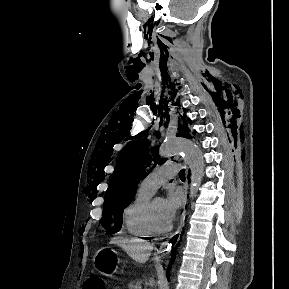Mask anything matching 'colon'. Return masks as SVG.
Segmentation results:
<instances>
[{
    "mask_svg": "<svg viewBox=\"0 0 289 289\" xmlns=\"http://www.w3.org/2000/svg\"><path fill=\"white\" fill-rule=\"evenodd\" d=\"M84 289H104V283L101 279L90 278L86 281Z\"/></svg>",
    "mask_w": 289,
    "mask_h": 289,
    "instance_id": "5ec220e1",
    "label": "colon"
}]
</instances>
